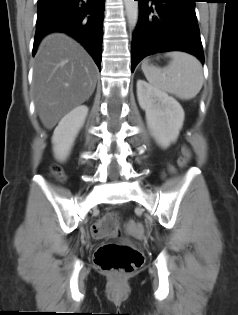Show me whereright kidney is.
<instances>
[{"instance_id": "1", "label": "right kidney", "mask_w": 238, "mask_h": 315, "mask_svg": "<svg viewBox=\"0 0 238 315\" xmlns=\"http://www.w3.org/2000/svg\"><path fill=\"white\" fill-rule=\"evenodd\" d=\"M88 114V107L80 105L65 115L52 136L54 156L59 161H64L70 154L75 138L83 126Z\"/></svg>"}]
</instances>
